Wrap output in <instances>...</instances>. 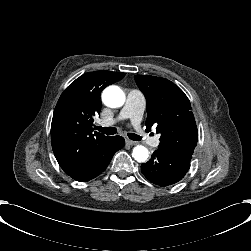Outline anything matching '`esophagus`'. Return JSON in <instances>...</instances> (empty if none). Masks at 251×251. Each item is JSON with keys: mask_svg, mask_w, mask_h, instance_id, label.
Wrapping results in <instances>:
<instances>
[{"mask_svg": "<svg viewBox=\"0 0 251 251\" xmlns=\"http://www.w3.org/2000/svg\"><path fill=\"white\" fill-rule=\"evenodd\" d=\"M126 142L130 145V146H135V145H138V142L136 141H133V140H126Z\"/></svg>", "mask_w": 251, "mask_h": 251, "instance_id": "1", "label": "esophagus"}]
</instances>
